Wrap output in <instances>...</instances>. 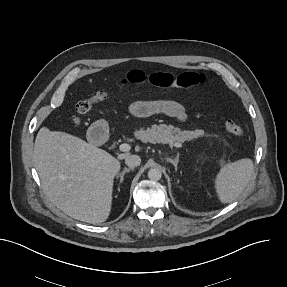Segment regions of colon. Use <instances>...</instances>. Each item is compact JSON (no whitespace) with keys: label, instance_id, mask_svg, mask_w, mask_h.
<instances>
[{"label":"colon","instance_id":"5ec220e1","mask_svg":"<svg viewBox=\"0 0 287 287\" xmlns=\"http://www.w3.org/2000/svg\"><path fill=\"white\" fill-rule=\"evenodd\" d=\"M204 82V77L194 72H182L178 74H170L164 72H156L150 75L140 70H134L128 73L120 82L121 87L139 86L146 83L152 84L159 88H182L190 89ZM109 100V94L105 91H98L90 98L78 102L76 111L79 115L89 114L96 105L104 104ZM225 129L228 133L235 136H243L245 134L244 127L237 120H227Z\"/></svg>","mask_w":287,"mask_h":287}]
</instances>
